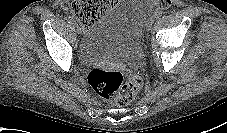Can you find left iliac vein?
<instances>
[{"label":"left iliac vein","instance_id":"obj_1","mask_svg":"<svg viewBox=\"0 0 227 133\" xmlns=\"http://www.w3.org/2000/svg\"><path fill=\"white\" fill-rule=\"evenodd\" d=\"M153 22H154V17H150L146 23L147 30H150L152 28Z\"/></svg>","mask_w":227,"mask_h":133}]
</instances>
